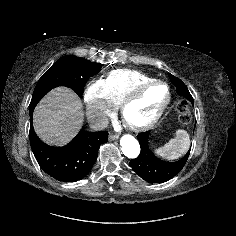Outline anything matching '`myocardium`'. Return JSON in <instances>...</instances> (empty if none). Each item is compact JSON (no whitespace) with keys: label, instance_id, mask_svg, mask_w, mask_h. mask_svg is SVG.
Wrapping results in <instances>:
<instances>
[{"label":"myocardium","instance_id":"myocardium-1","mask_svg":"<svg viewBox=\"0 0 236 236\" xmlns=\"http://www.w3.org/2000/svg\"><path fill=\"white\" fill-rule=\"evenodd\" d=\"M154 85H164L167 89V98L164 101V103L157 109L156 113L153 115V117L144 122V123H132L126 118V110L127 108L132 105L134 102H136L141 95L150 87ZM172 100V91L170 85L163 81L158 79H153L148 82L142 83L135 87L119 104V113L122 118V121L124 125L131 131L134 132H143L150 128H152L162 117L164 111L169 106L170 102Z\"/></svg>","mask_w":236,"mask_h":236}]
</instances>
